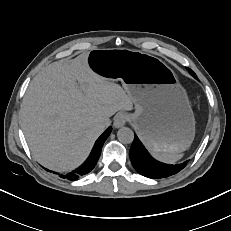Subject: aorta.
<instances>
[{"mask_svg": "<svg viewBox=\"0 0 231 231\" xmlns=\"http://www.w3.org/2000/svg\"><path fill=\"white\" fill-rule=\"evenodd\" d=\"M117 138L121 143L129 144L134 140V133L128 127H122L117 132Z\"/></svg>", "mask_w": 231, "mask_h": 231, "instance_id": "1", "label": "aorta"}]
</instances>
